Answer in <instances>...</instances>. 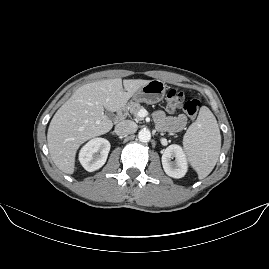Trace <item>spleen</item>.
I'll return each instance as SVG.
<instances>
[{"mask_svg": "<svg viewBox=\"0 0 269 269\" xmlns=\"http://www.w3.org/2000/svg\"><path fill=\"white\" fill-rule=\"evenodd\" d=\"M183 146L198 178L207 177L216 165L221 149L217 120L208 107L200 108L196 121L183 137Z\"/></svg>", "mask_w": 269, "mask_h": 269, "instance_id": "obj_1", "label": "spleen"}]
</instances>
